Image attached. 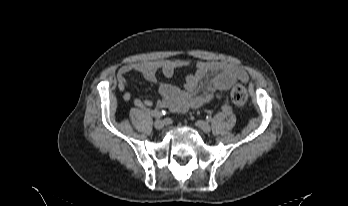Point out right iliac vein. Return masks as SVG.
<instances>
[{
    "instance_id": "1",
    "label": "right iliac vein",
    "mask_w": 348,
    "mask_h": 206,
    "mask_svg": "<svg viewBox=\"0 0 348 206\" xmlns=\"http://www.w3.org/2000/svg\"><path fill=\"white\" fill-rule=\"evenodd\" d=\"M154 127L157 129V130H161L163 129L164 127V122L162 120H156L154 122Z\"/></svg>"
}]
</instances>
